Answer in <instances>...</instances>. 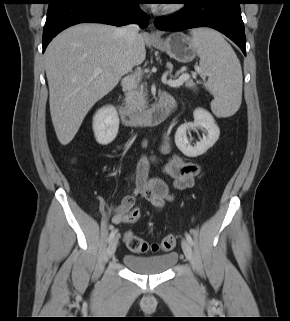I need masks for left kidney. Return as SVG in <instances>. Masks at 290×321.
<instances>
[{"label": "left kidney", "mask_w": 290, "mask_h": 321, "mask_svg": "<svg viewBox=\"0 0 290 321\" xmlns=\"http://www.w3.org/2000/svg\"><path fill=\"white\" fill-rule=\"evenodd\" d=\"M194 122L182 124L175 134V143L178 149L188 157H197L204 154L218 140L220 130L213 116L205 109L197 108L194 113ZM202 129L206 132L203 138L192 146L187 139V131Z\"/></svg>", "instance_id": "5707ae66"}]
</instances>
